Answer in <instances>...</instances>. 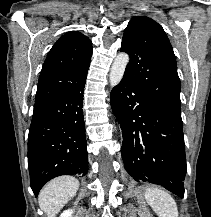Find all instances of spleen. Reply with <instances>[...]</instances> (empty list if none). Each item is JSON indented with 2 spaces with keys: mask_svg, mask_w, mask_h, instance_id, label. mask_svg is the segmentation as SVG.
<instances>
[{
  "mask_svg": "<svg viewBox=\"0 0 211 217\" xmlns=\"http://www.w3.org/2000/svg\"><path fill=\"white\" fill-rule=\"evenodd\" d=\"M144 196L159 217H178V208L173 197L158 188H147Z\"/></svg>",
  "mask_w": 211,
  "mask_h": 217,
  "instance_id": "3e777b00",
  "label": "spleen"
}]
</instances>
